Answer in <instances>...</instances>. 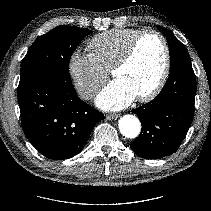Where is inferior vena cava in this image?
Masks as SVG:
<instances>
[{
  "mask_svg": "<svg viewBox=\"0 0 211 211\" xmlns=\"http://www.w3.org/2000/svg\"><path fill=\"white\" fill-rule=\"evenodd\" d=\"M94 94V90L89 88L81 92V97L84 99H91Z\"/></svg>",
  "mask_w": 211,
  "mask_h": 211,
  "instance_id": "obj_1",
  "label": "inferior vena cava"
}]
</instances>
